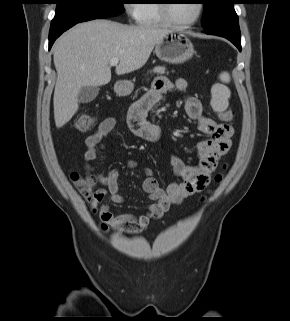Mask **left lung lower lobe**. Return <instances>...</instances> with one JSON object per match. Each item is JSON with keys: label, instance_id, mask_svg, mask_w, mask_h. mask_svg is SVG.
<instances>
[{"label": "left lung lower lobe", "instance_id": "left-lung-lower-lobe-1", "mask_svg": "<svg viewBox=\"0 0 290 321\" xmlns=\"http://www.w3.org/2000/svg\"><path fill=\"white\" fill-rule=\"evenodd\" d=\"M205 33L224 37L231 41L239 51H241V33L239 29L238 17H234L223 24L206 29Z\"/></svg>", "mask_w": 290, "mask_h": 321}]
</instances>
